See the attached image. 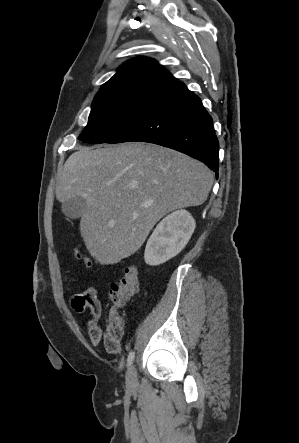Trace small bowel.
Segmentation results:
<instances>
[{"label":"small bowel","instance_id":"obj_1","mask_svg":"<svg viewBox=\"0 0 299 443\" xmlns=\"http://www.w3.org/2000/svg\"><path fill=\"white\" fill-rule=\"evenodd\" d=\"M72 307L77 311L89 309L91 319L88 321V335L93 346L98 347L102 342L109 353H118L120 351V338L109 332H103L98 324L102 315V305L99 300L98 290L90 287L83 294L76 295L71 301Z\"/></svg>","mask_w":299,"mask_h":443}]
</instances>
